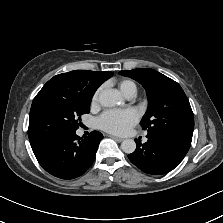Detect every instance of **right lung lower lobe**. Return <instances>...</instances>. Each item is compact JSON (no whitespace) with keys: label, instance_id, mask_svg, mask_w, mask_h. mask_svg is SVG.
<instances>
[{"label":"right lung lower lobe","instance_id":"98d812e1","mask_svg":"<svg viewBox=\"0 0 223 223\" xmlns=\"http://www.w3.org/2000/svg\"><path fill=\"white\" fill-rule=\"evenodd\" d=\"M103 135L98 131L80 138L75 132L31 145L39 164L51 175L74 179L92 165Z\"/></svg>","mask_w":223,"mask_h":223}]
</instances>
